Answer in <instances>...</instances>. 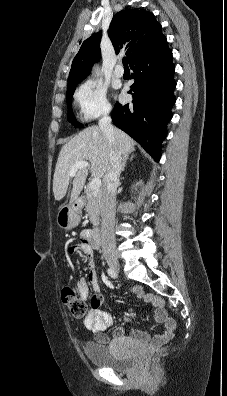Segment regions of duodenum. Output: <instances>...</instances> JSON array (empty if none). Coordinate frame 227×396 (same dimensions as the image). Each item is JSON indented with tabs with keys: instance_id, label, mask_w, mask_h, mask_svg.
Here are the masks:
<instances>
[{
	"instance_id": "410a0bca",
	"label": "duodenum",
	"mask_w": 227,
	"mask_h": 396,
	"mask_svg": "<svg viewBox=\"0 0 227 396\" xmlns=\"http://www.w3.org/2000/svg\"><path fill=\"white\" fill-rule=\"evenodd\" d=\"M84 204V200L82 197H79L76 199V201L74 202V206L75 208H80L82 207ZM92 240L94 242V244L99 247L102 244V232L101 229L99 227H95L92 230Z\"/></svg>"
}]
</instances>
